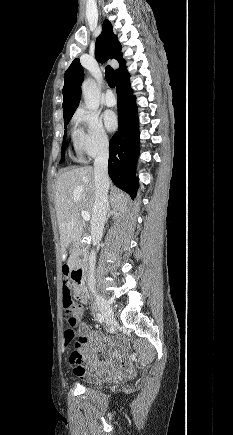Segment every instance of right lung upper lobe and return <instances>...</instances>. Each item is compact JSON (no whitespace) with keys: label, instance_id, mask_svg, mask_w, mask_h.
<instances>
[{"label":"right lung upper lobe","instance_id":"cb5924a9","mask_svg":"<svg viewBox=\"0 0 233 435\" xmlns=\"http://www.w3.org/2000/svg\"><path fill=\"white\" fill-rule=\"evenodd\" d=\"M121 45L117 36L113 33L112 25L105 20L102 27V33L96 41L95 56L99 62H105L107 59L115 58L119 62V69L116 70V79L128 74L125 66V60L122 57ZM84 78L83 68L79 59L73 60L64 74L63 87V114L64 117L72 116L77 109L81 98V84Z\"/></svg>","mask_w":233,"mask_h":435}]
</instances>
